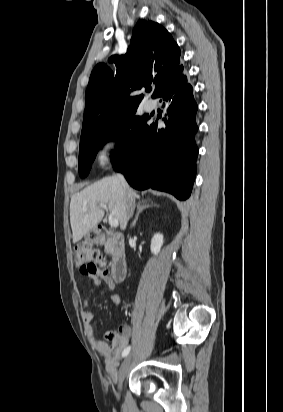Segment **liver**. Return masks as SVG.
I'll return each instance as SVG.
<instances>
[{
  "label": "liver",
  "mask_w": 283,
  "mask_h": 412,
  "mask_svg": "<svg viewBox=\"0 0 283 412\" xmlns=\"http://www.w3.org/2000/svg\"><path fill=\"white\" fill-rule=\"evenodd\" d=\"M132 193L134 197H140ZM125 203L126 190L117 176L105 177L74 194L70 202L73 243H77L101 222L104 215L102 206L108 207L111 217L117 219L121 229L125 230L128 221Z\"/></svg>",
  "instance_id": "obj_1"
}]
</instances>
